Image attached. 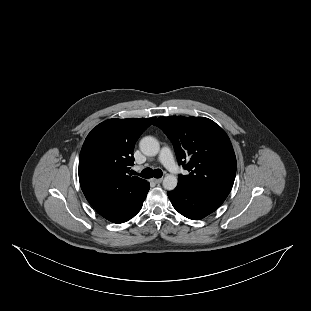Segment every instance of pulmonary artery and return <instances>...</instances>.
Returning <instances> with one entry per match:
<instances>
[{
  "label": "pulmonary artery",
  "instance_id": "e3ab8cb5",
  "mask_svg": "<svg viewBox=\"0 0 311 311\" xmlns=\"http://www.w3.org/2000/svg\"><path fill=\"white\" fill-rule=\"evenodd\" d=\"M158 161L169 170H175L174 156L169 147L165 146L161 149Z\"/></svg>",
  "mask_w": 311,
  "mask_h": 311
}]
</instances>
